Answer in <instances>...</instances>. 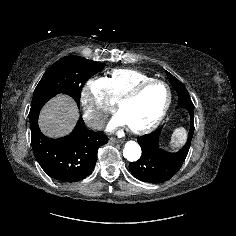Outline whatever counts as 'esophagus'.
I'll list each match as a JSON object with an SVG mask.
<instances>
[{"label": "esophagus", "mask_w": 236, "mask_h": 236, "mask_svg": "<svg viewBox=\"0 0 236 236\" xmlns=\"http://www.w3.org/2000/svg\"><path fill=\"white\" fill-rule=\"evenodd\" d=\"M109 142H110V143H119L120 140H119V139H116V138H109Z\"/></svg>", "instance_id": "obj_1"}]
</instances>
